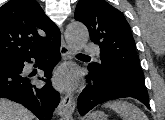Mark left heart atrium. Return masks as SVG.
Returning <instances> with one entry per match:
<instances>
[{"label":"left heart atrium","instance_id":"obj_1","mask_svg":"<svg viewBox=\"0 0 165 120\" xmlns=\"http://www.w3.org/2000/svg\"><path fill=\"white\" fill-rule=\"evenodd\" d=\"M54 84L60 89H72L77 83V75L72 67H62L53 78Z\"/></svg>","mask_w":165,"mask_h":120}]
</instances>
